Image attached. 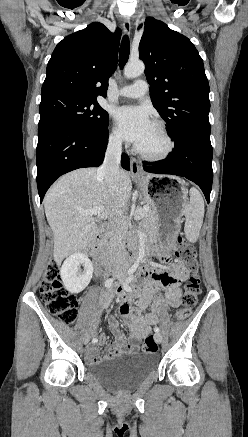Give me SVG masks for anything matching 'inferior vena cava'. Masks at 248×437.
I'll return each mask as SVG.
<instances>
[{
    "label": "inferior vena cava",
    "instance_id": "602c4592",
    "mask_svg": "<svg viewBox=\"0 0 248 437\" xmlns=\"http://www.w3.org/2000/svg\"><path fill=\"white\" fill-rule=\"evenodd\" d=\"M122 141L120 138H114L109 141L103 164L97 170V176L104 178L105 182L111 189L117 187L119 181V165L121 161ZM113 235L115 240L120 237V226L117 220L111 221ZM123 246L120 244L116 251V263H123Z\"/></svg>",
    "mask_w": 248,
    "mask_h": 437
}]
</instances>
